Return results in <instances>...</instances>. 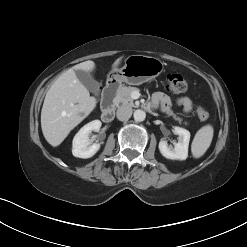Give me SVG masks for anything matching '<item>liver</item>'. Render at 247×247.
<instances>
[{
    "label": "liver",
    "instance_id": "liver-1",
    "mask_svg": "<svg viewBox=\"0 0 247 247\" xmlns=\"http://www.w3.org/2000/svg\"><path fill=\"white\" fill-rule=\"evenodd\" d=\"M121 58L112 65L117 69ZM93 61L79 63L64 72L48 90L41 110V128L46 141L60 145L68 134L96 107L97 101L79 81L76 70L93 71Z\"/></svg>",
    "mask_w": 247,
    "mask_h": 247
}]
</instances>
